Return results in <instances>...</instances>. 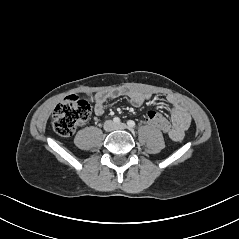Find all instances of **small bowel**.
<instances>
[{
	"instance_id": "small-bowel-1",
	"label": "small bowel",
	"mask_w": 239,
	"mask_h": 239,
	"mask_svg": "<svg viewBox=\"0 0 239 239\" xmlns=\"http://www.w3.org/2000/svg\"><path fill=\"white\" fill-rule=\"evenodd\" d=\"M121 95L128 96L135 106H140L145 101L151 99V94L139 89L110 90L99 92L96 94L94 99L95 114L97 116H102L105 113L106 102ZM168 101L170 103L171 121L170 127L164 133H166L171 140L180 141L184 137V133L190 125L191 117L186 108L177 98L169 96Z\"/></svg>"
}]
</instances>
